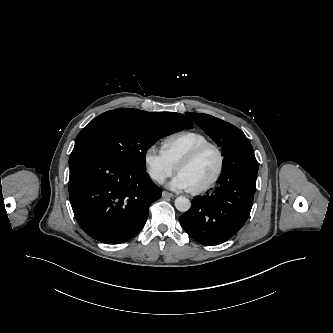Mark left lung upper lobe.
Here are the masks:
<instances>
[{
    "label": "left lung upper lobe",
    "mask_w": 333,
    "mask_h": 333,
    "mask_svg": "<svg viewBox=\"0 0 333 333\" xmlns=\"http://www.w3.org/2000/svg\"><path fill=\"white\" fill-rule=\"evenodd\" d=\"M187 115L222 148L223 155L240 144L249 142L240 129L219 118L202 113H187Z\"/></svg>",
    "instance_id": "obj_1"
}]
</instances>
